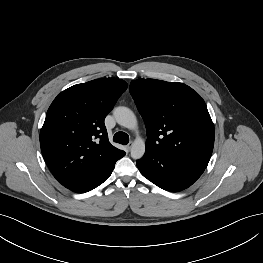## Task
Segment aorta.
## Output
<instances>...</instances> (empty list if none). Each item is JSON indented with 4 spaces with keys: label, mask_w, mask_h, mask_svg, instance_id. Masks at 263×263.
Masks as SVG:
<instances>
[{
    "label": "aorta",
    "mask_w": 263,
    "mask_h": 263,
    "mask_svg": "<svg viewBox=\"0 0 263 263\" xmlns=\"http://www.w3.org/2000/svg\"><path fill=\"white\" fill-rule=\"evenodd\" d=\"M113 115L117 123L125 128L135 130L137 128V119L132 110L127 107L119 106L114 109ZM145 153V143L143 139L137 137L131 145V157L140 159Z\"/></svg>",
    "instance_id": "762f6f07"
}]
</instances>
